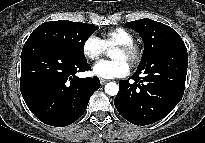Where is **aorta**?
<instances>
[{
  "instance_id": "aorta-1",
  "label": "aorta",
  "mask_w": 205,
  "mask_h": 143,
  "mask_svg": "<svg viewBox=\"0 0 205 143\" xmlns=\"http://www.w3.org/2000/svg\"><path fill=\"white\" fill-rule=\"evenodd\" d=\"M119 86L115 82H109L105 85V92L110 96L117 95Z\"/></svg>"
}]
</instances>
